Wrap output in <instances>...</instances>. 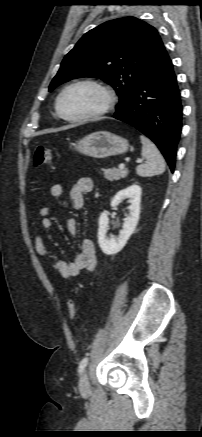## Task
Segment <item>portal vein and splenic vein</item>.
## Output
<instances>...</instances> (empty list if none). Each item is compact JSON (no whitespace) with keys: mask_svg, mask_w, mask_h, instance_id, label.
I'll return each instance as SVG.
<instances>
[{"mask_svg":"<svg viewBox=\"0 0 202 437\" xmlns=\"http://www.w3.org/2000/svg\"><path fill=\"white\" fill-rule=\"evenodd\" d=\"M141 162H142V160H137V163H141ZM119 169H121V170L125 169V164L121 163L119 165Z\"/></svg>","mask_w":202,"mask_h":437,"instance_id":"portal-vein-and-splenic-vein-1","label":"portal vein and splenic vein"}]
</instances>
